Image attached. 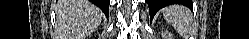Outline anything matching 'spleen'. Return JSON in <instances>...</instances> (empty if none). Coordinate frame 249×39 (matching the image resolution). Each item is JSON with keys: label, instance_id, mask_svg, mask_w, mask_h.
Returning <instances> with one entry per match:
<instances>
[{"label": "spleen", "instance_id": "1", "mask_svg": "<svg viewBox=\"0 0 249 39\" xmlns=\"http://www.w3.org/2000/svg\"><path fill=\"white\" fill-rule=\"evenodd\" d=\"M163 16L171 24H180L186 20L188 12L179 6H169L162 10Z\"/></svg>", "mask_w": 249, "mask_h": 39}]
</instances>
